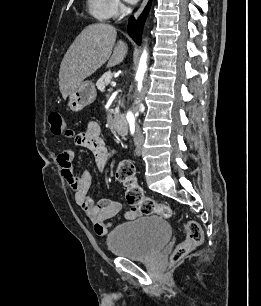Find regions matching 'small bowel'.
Wrapping results in <instances>:
<instances>
[{"mask_svg":"<svg viewBox=\"0 0 261 306\" xmlns=\"http://www.w3.org/2000/svg\"><path fill=\"white\" fill-rule=\"evenodd\" d=\"M75 143L78 146L90 150L95 158L96 166L100 171L106 168L110 158V152L101 136L98 124L91 122L85 129L75 136ZM74 151L67 147L57 156V163L62 177L68 186L74 191V200L78 207L85 213L94 226L95 233L105 236L113 225V220L121 211V204L117 201L101 198L93 201L88 196L91 187L92 177L87 169L75 174L73 170ZM137 216L136 209L125 212L123 218L134 219Z\"/></svg>","mask_w":261,"mask_h":306,"instance_id":"c3829d8e","label":"small bowel"}]
</instances>
